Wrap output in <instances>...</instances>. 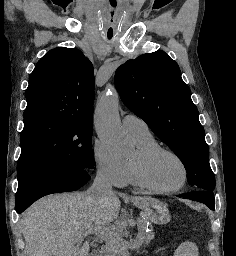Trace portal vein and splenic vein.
I'll return each instance as SVG.
<instances>
[{"instance_id":"18ae733b","label":"portal vein and splenic vein","mask_w":236,"mask_h":256,"mask_svg":"<svg viewBox=\"0 0 236 256\" xmlns=\"http://www.w3.org/2000/svg\"><path fill=\"white\" fill-rule=\"evenodd\" d=\"M117 228H120L121 224H116ZM110 230H107V228H100L98 232H96L97 236H100V238H104L105 234H108Z\"/></svg>"}]
</instances>
